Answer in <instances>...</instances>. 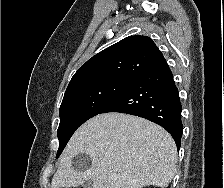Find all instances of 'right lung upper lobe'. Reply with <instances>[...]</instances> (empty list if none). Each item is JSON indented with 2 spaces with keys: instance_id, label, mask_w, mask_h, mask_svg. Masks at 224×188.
Instances as JSON below:
<instances>
[{
  "instance_id": "right-lung-upper-lobe-1",
  "label": "right lung upper lobe",
  "mask_w": 224,
  "mask_h": 188,
  "mask_svg": "<svg viewBox=\"0 0 224 188\" xmlns=\"http://www.w3.org/2000/svg\"><path fill=\"white\" fill-rule=\"evenodd\" d=\"M165 58L147 36H129L99 52L83 64L68 87L104 78L135 79Z\"/></svg>"
}]
</instances>
